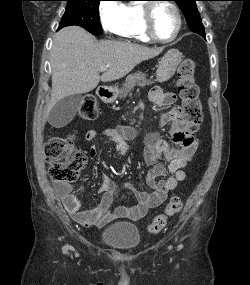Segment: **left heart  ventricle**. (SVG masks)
I'll use <instances>...</instances> for the list:
<instances>
[{
	"instance_id": "obj_1",
	"label": "left heart ventricle",
	"mask_w": 250,
	"mask_h": 285,
	"mask_svg": "<svg viewBox=\"0 0 250 285\" xmlns=\"http://www.w3.org/2000/svg\"><path fill=\"white\" fill-rule=\"evenodd\" d=\"M178 25L174 11L167 5H158L153 14V28L160 38H170L176 31Z\"/></svg>"
}]
</instances>
